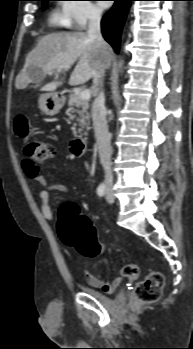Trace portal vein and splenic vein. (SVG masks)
I'll list each match as a JSON object with an SVG mask.
<instances>
[{"mask_svg": "<svg viewBox=\"0 0 193 349\" xmlns=\"http://www.w3.org/2000/svg\"><path fill=\"white\" fill-rule=\"evenodd\" d=\"M57 72H61V70H57ZM52 74V73H50ZM91 96V92L89 89H83L81 92H80V97L82 99H85V100H88Z\"/></svg>", "mask_w": 193, "mask_h": 349, "instance_id": "portal-vein-and-splenic-vein-1", "label": "portal vein and splenic vein"}]
</instances>
